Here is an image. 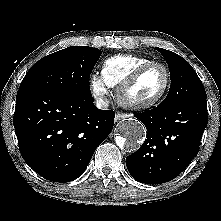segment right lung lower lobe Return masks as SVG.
I'll list each match as a JSON object with an SVG mask.
<instances>
[{"instance_id": "obj_1", "label": "right lung lower lobe", "mask_w": 221, "mask_h": 221, "mask_svg": "<svg viewBox=\"0 0 221 221\" xmlns=\"http://www.w3.org/2000/svg\"><path fill=\"white\" fill-rule=\"evenodd\" d=\"M93 101L51 90H18L13 122L20 153L40 176L69 182L83 174L114 125L115 113Z\"/></svg>"}]
</instances>
